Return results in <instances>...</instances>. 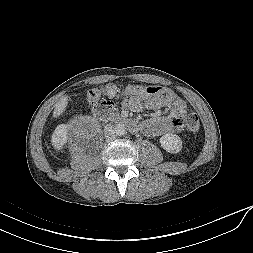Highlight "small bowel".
Returning <instances> with one entry per match:
<instances>
[{
	"label": "small bowel",
	"instance_id": "small-bowel-1",
	"mask_svg": "<svg viewBox=\"0 0 253 253\" xmlns=\"http://www.w3.org/2000/svg\"><path fill=\"white\" fill-rule=\"evenodd\" d=\"M100 105L103 108L116 110L118 103L112 99L102 98ZM123 106L131 111L157 110L171 107L169 116H155L146 120L142 129L149 136H161L171 132H179L183 128V120L187 113L185 102L171 90L165 89L156 96H133L123 101Z\"/></svg>",
	"mask_w": 253,
	"mask_h": 253
}]
</instances>
